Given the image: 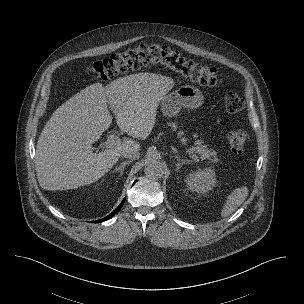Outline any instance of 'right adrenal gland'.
<instances>
[{
	"label": "right adrenal gland",
	"instance_id": "2a0ac1e0",
	"mask_svg": "<svg viewBox=\"0 0 304 304\" xmlns=\"http://www.w3.org/2000/svg\"><path fill=\"white\" fill-rule=\"evenodd\" d=\"M131 162H132V160L122 162L118 167H116V168L112 171V173H114V172H119L120 175H122L123 172H124V168L126 167V165H129Z\"/></svg>",
	"mask_w": 304,
	"mask_h": 304
}]
</instances>
